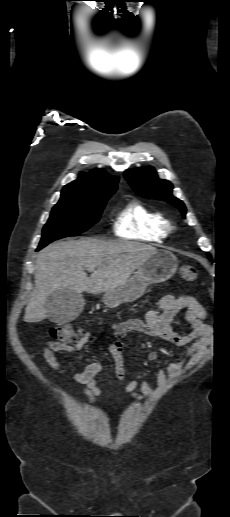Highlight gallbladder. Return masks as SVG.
I'll return each instance as SVG.
<instances>
[{"mask_svg":"<svg viewBox=\"0 0 230 517\" xmlns=\"http://www.w3.org/2000/svg\"><path fill=\"white\" fill-rule=\"evenodd\" d=\"M84 304L81 294L70 289L58 290L46 301L48 318L58 324L69 322L79 316Z\"/></svg>","mask_w":230,"mask_h":517,"instance_id":"1","label":"gallbladder"}]
</instances>
